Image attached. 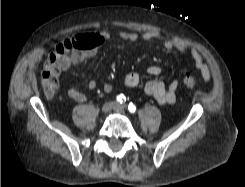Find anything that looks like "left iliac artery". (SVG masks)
<instances>
[{
    "label": "left iliac artery",
    "instance_id": "obj_1",
    "mask_svg": "<svg viewBox=\"0 0 245 187\" xmlns=\"http://www.w3.org/2000/svg\"><path fill=\"white\" fill-rule=\"evenodd\" d=\"M128 110L129 112L134 113L136 111V106L133 103H130L128 105Z\"/></svg>",
    "mask_w": 245,
    "mask_h": 187
}]
</instances>
